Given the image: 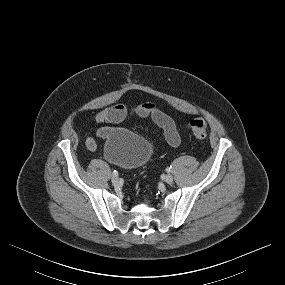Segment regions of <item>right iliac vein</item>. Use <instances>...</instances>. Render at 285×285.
<instances>
[{"instance_id":"right-iliac-vein-1","label":"right iliac vein","mask_w":285,"mask_h":285,"mask_svg":"<svg viewBox=\"0 0 285 285\" xmlns=\"http://www.w3.org/2000/svg\"><path fill=\"white\" fill-rule=\"evenodd\" d=\"M119 182L118 176H112V183L117 184Z\"/></svg>"}]
</instances>
